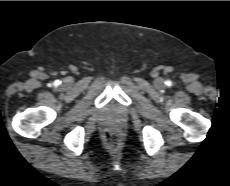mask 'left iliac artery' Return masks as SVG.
Returning a JSON list of instances; mask_svg holds the SVG:
<instances>
[{"label": "left iliac artery", "mask_w": 230, "mask_h": 186, "mask_svg": "<svg viewBox=\"0 0 230 186\" xmlns=\"http://www.w3.org/2000/svg\"><path fill=\"white\" fill-rule=\"evenodd\" d=\"M166 84H167L168 86H170V85H171V81H167Z\"/></svg>", "instance_id": "1"}]
</instances>
